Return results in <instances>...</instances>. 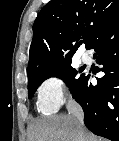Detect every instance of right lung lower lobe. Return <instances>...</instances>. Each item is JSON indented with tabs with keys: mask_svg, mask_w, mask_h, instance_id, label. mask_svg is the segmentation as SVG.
Here are the masks:
<instances>
[{
	"mask_svg": "<svg viewBox=\"0 0 119 141\" xmlns=\"http://www.w3.org/2000/svg\"><path fill=\"white\" fill-rule=\"evenodd\" d=\"M90 49L105 75L94 86L90 75L82 74L72 97L81 105L91 132L119 141V19L103 27Z\"/></svg>",
	"mask_w": 119,
	"mask_h": 141,
	"instance_id": "98d812e1",
	"label": "right lung lower lobe"
}]
</instances>
